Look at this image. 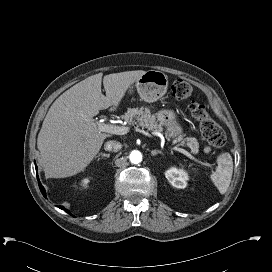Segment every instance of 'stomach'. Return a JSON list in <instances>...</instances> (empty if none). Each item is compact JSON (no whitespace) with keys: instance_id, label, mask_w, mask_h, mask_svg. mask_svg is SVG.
I'll return each mask as SVG.
<instances>
[{"instance_id":"obj_1","label":"stomach","mask_w":272,"mask_h":272,"mask_svg":"<svg viewBox=\"0 0 272 272\" xmlns=\"http://www.w3.org/2000/svg\"><path fill=\"white\" fill-rule=\"evenodd\" d=\"M134 87L143 101L153 103L165 95L168 88V77L162 71L149 70L135 82ZM132 89L133 87H131L130 93L133 92ZM157 120L162 129L163 126L166 128L168 139L182 137V127L178 123L174 111L161 110L157 114Z\"/></svg>"}]
</instances>
